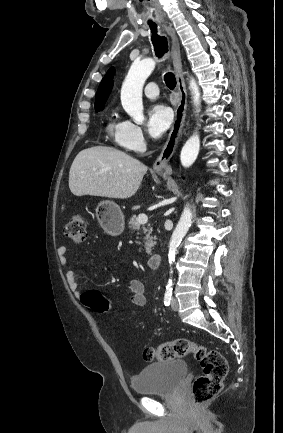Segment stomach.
I'll return each mask as SVG.
<instances>
[{
  "instance_id": "0dacf381",
  "label": "stomach",
  "mask_w": 283,
  "mask_h": 433,
  "mask_svg": "<svg viewBox=\"0 0 283 433\" xmlns=\"http://www.w3.org/2000/svg\"><path fill=\"white\" fill-rule=\"evenodd\" d=\"M160 174H164L162 170H160ZM96 217L99 223H102L104 227V231L108 233V235H112V237H116V235H121L124 231V214L113 200H102L99 202L96 208Z\"/></svg>"
}]
</instances>
